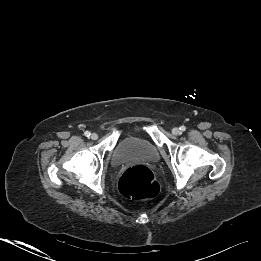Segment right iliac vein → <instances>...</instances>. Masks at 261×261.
<instances>
[{
	"mask_svg": "<svg viewBox=\"0 0 261 261\" xmlns=\"http://www.w3.org/2000/svg\"><path fill=\"white\" fill-rule=\"evenodd\" d=\"M91 139L92 140H97L98 139V135L96 133H92L91 134Z\"/></svg>",
	"mask_w": 261,
	"mask_h": 261,
	"instance_id": "right-iliac-vein-1",
	"label": "right iliac vein"
}]
</instances>
